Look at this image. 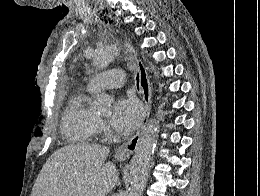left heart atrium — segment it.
<instances>
[{
  "label": "left heart atrium",
  "instance_id": "39dd6f15",
  "mask_svg": "<svg viewBox=\"0 0 260 196\" xmlns=\"http://www.w3.org/2000/svg\"><path fill=\"white\" fill-rule=\"evenodd\" d=\"M143 118V107L135 98H120L109 116V124L122 135L130 134L136 129Z\"/></svg>",
  "mask_w": 260,
  "mask_h": 196
}]
</instances>
